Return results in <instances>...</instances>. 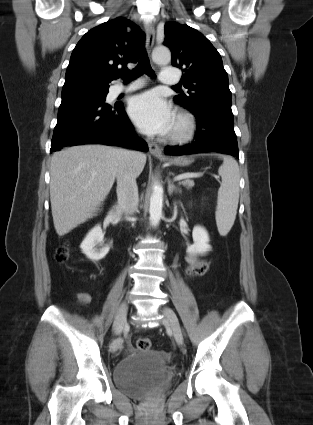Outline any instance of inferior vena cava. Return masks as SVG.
Here are the masks:
<instances>
[{"mask_svg":"<svg viewBox=\"0 0 313 425\" xmlns=\"http://www.w3.org/2000/svg\"><path fill=\"white\" fill-rule=\"evenodd\" d=\"M138 156L137 152L124 151L117 172L118 206L125 215H133L139 203L136 176L133 164Z\"/></svg>","mask_w":313,"mask_h":425,"instance_id":"obj_1","label":"inferior vena cava"}]
</instances>
